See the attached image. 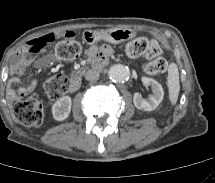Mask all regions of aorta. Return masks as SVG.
<instances>
[{"label": "aorta", "instance_id": "obj_1", "mask_svg": "<svg viewBox=\"0 0 215 183\" xmlns=\"http://www.w3.org/2000/svg\"><path fill=\"white\" fill-rule=\"evenodd\" d=\"M108 75L113 81L124 82L128 80L130 76V70L123 64H114L110 67Z\"/></svg>", "mask_w": 215, "mask_h": 183}]
</instances>
